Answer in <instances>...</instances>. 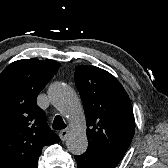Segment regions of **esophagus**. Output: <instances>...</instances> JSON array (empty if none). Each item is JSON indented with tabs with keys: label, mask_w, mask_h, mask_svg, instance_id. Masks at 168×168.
<instances>
[{
	"label": "esophagus",
	"mask_w": 168,
	"mask_h": 168,
	"mask_svg": "<svg viewBox=\"0 0 168 168\" xmlns=\"http://www.w3.org/2000/svg\"><path fill=\"white\" fill-rule=\"evenodd\" d=\"M69 135V128H65L59 132V136L62 141H65Z\"/></svg>",
	"instance_id": "34e87169"
}]
</instances>
